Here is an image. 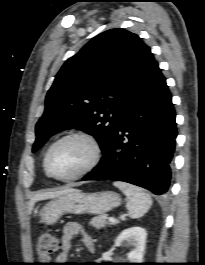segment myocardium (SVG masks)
I'll use <instances>...</instances> for the list:
<instances>
[{
	"label": "myocardium",
	"instance_id": "1",
	"mask_svg": "<svg viewBox=\"0 0 205 265\" xmlns=\"http://www.w3.org/2000/svg\"><path fill=\"white\" fill-rule=\"evenodd\" d=\"M72 138H78L86 141L90 148H91V157L89 161L76 173L69 175V176H58L51 172L48 166V160L50 153L52 150L61 142L72 139ZM102 156V149L98 142V140L91 134L84 132V131H72L69 133H66L59 137L57 140H55L46 150L44 158H43V168L46 172V174L51 177L52 179L62 181V182H69L77 180L89 172H91L100 162Z\"/></svg>",
	"mask_w": 205,
	"mask_h": 265
}]
</instances>
